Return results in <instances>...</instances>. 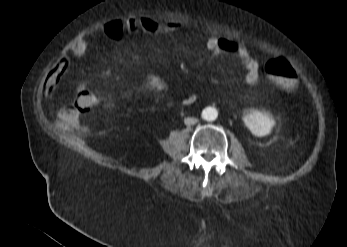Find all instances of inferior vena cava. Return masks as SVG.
Wrapping results in <instances>:
<instances>
[{
  "mask_svg": "<svg viewBox=\"0 0 347 247\" xmlns=\"http://www.w3.org/2000/svg\"><path fill=\"white\" fill-rule=\"evenodd\" d=\"M184 123L186 125H194L195 123H197V119L194 117H187L184 119Z\"/></svg>",
  "mask_w": 347,
  "mask_h": 247,
  "instance_id": "inferior-vena-cava-1",
  "label": "inferior vena cava"
}]
</instances>
